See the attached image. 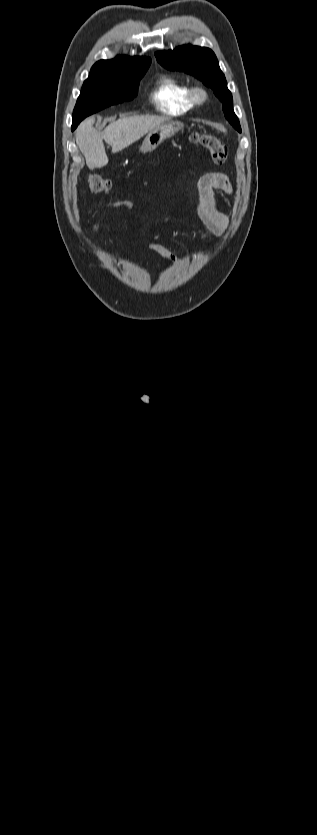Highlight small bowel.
I'll use <instances>...</instances> for the list:
<instances>
[{
    "instance_id": "obj_1",
    "label": "small bowel",
    "mask_w": 317,
    "mask_h": 835,
    "mask_svg": "<svg viewBox=\"0 0 317 835\" xmlns=\"http://www.w3.org/2000/svg\"><path fill=\"white\" fill-rule=\"evenodd\" d=\"M217 191L226 194H233L234 188L230 178L221 173H207L203 175L198 182V201L196 211L198 218L205 229L216 237H221L228 227V217L219 210L215 193ZM132 201H123L114 206V208L129 211L133 208ZM95 225L94 230H97ZM150 247L153 251L164 256L166 259L176 265L183 264L184 260L178 255L172 253L167 247L158 242H152Z\"/></svg>"
}]
</instances>
